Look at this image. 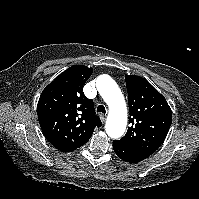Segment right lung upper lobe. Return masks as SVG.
<instances>
[{
  "label": "right lung upper lobe",
  "mask_w": 199,
  "mask_h": 199,
  "mask_svg": "<svg viewBox=\"0 0 199 199\" xmlns=\"http://www.w3.org/2000/svg\"><path fill=\"white\" fill-rule=\"evenodd\" d=\"M92 68L74 65L55 78L42 92L37 107L45 138L60 151H74L88 142L101 126L94 104L83 94Z\"/></svg>",
  "instance_id": "right-lung-upper-lobe-1"
}]
</instances>
